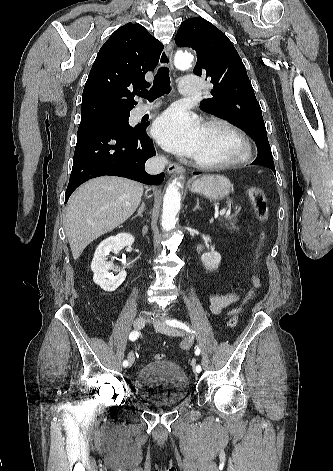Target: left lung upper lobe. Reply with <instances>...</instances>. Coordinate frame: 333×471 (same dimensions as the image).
Instances as JSON below:
<instances>
[{"label": "left lung upper lobe", "mask_w": 333, "mask_h": 471, "mask_svg": "<svg viewBox=\"0 0 333 471\" xmlns=\"http://www.w3.org/2000/svg\"><path fill=\"white\" fill-rule=\"evenodd\" d=\"M175 43L195 50L197 63L193 72L214 84L211 98L204 99L200 108L244 129L256 142L258 157L272 158L260 105L229 38L207 20L196 17L181 24Z\"/></svg>", "instance_id": "obj_1"}]
</instances>
